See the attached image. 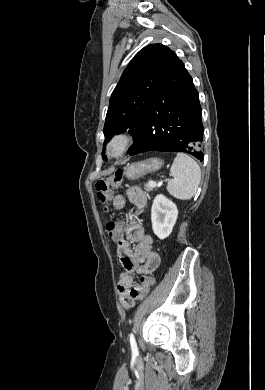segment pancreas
Returning <instances> with one entry per match:
<instances>
[{
    "label": "pancreas",
    "mask_w": 265,
    "mask_h": 390,
    "mask_svg": "<svg viewBox=\"0 0 265 390\" xmlns=\"http://www.w3.org/2000/svg\"><path fill=\"white\" fill-rule=\"evenodd\" d=\"M154 187H155V186H152L150 183L145 184V189H146L147 191H151Z\"/></svg>",
    "instance_id": "1"
}]
</instances>
